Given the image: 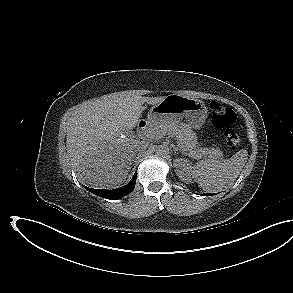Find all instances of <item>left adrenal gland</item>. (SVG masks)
<instances>
[{"mask_svg":"<svg viewBox=\"0 0 293 293\" xmlns=\"http://www.w3.org/2000/svg\"><path fill=\"white\" fill-rule=\"evenodd\" d=\"M180 149L178 147H173V151L176 153V151H179Z\"/></svg>","mask_w":293,"mask_h":293,"instance_id":"1","label":"left adrenal gland"}]
</instances>
